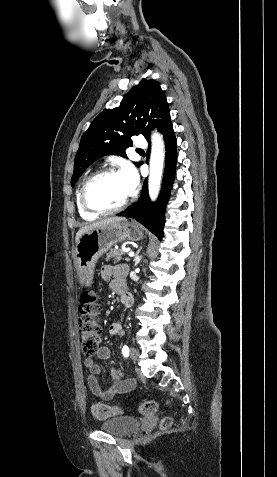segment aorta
Instances as JSON below:
<instances>
[{
  "mask_svg": "<svg viewBox=\"0 0 277 477\" xmlns=\"http://www.w3.org/2000/svg\"><path fill=\"white\" fill-rule=\"evenodd\" d=\"M164 143L161 136L154 132L152 135V147L150 156L149 195L155 200L159 194L161 178L164 166Z\"/></svg>",
  "mask_w": 277,
  "mask_h": 477,
  "instance_id": "762f6f07",
  "label": "aorta"
}]
</instances>
